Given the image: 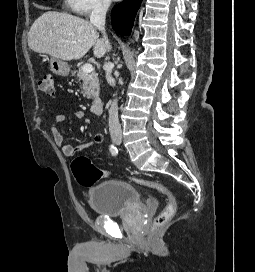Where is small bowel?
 Instances as JSON below:
<instances>
[{
    "label": "small bowel",
    "instance_id": "c3829d8e",
    "mask_svg": "<svg viewBox=\"0 0 255 272\" xmlns=\"http://www.w3.org/2000/svg\"><path fill=\"white\" fill-rule=\"evenodd\" d=\"M74 116L77 119H83L85 117V112L81 109H78L74 112ZM67 121V116L64 114H59L55 117L54 122L51 126V133L53 136V140L55 144L61 148L62 153L66 157H73L77 151L90 149L94 145H100L104 142V136L102 134H96L93 139L89 142L83 143L79 146H73L71 144H67L64 141L63 134L61 133L58 126Z\"/></svg>",
    "mask_w": 255,
    "mask_h": 272
}]
</instances>
